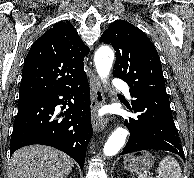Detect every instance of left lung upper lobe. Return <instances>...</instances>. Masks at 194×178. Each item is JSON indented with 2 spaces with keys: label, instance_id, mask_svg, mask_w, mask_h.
Instances as JSON below:
<instances>
[{
  "label": "left lung upper lobe",
  "instance_id": "5c2ea615",
  "mask_svg": "<svg viewBox=\"0 0 194 178\" xmlns=\"http://www.w3.org/2000/svg\"><path fill=\"white\" fill-rule=\"evenodd\" d=\"M100 42L116 51L114 77L124 80L130 89L167 94L157 50L140 29L123 20L114 21Z\"/></svg>",
  "mask_w": 194,
  "mask_h": 178
}]
</instances>
